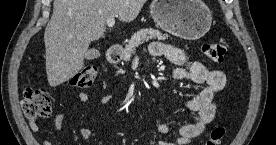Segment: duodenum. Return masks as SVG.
<instances>
[{"mask_svg": "<svg viewBox=\"0 0 276 145\" xmlns=\"http://www.w3.org/2000/svg\"><path fill=\"white\" fill-rule=\"evenodd\" d=\"M123 48L121 46H110L107 50V59L111 62L118 61L122 56Z\"/></svg>", "mask_w": 276, "mask_h": 145, "instance_id": "410a0bca", "label": "duodenum"}]
</instances>
